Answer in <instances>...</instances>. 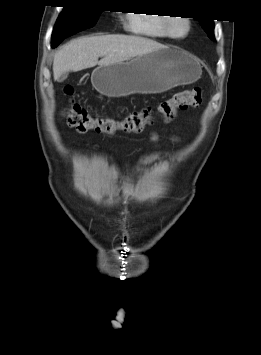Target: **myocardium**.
Instances as JSON below:
<instances>
[{
  "label": "myocardium",
  "mask_w": 261,
  "mask_h": 355,
  "mask_svg": "<svg viewBox=\"0 0 261 355\" xmlns=\"http://www.w3.org/2000/svg\"><path fill=\"white\" fill-rule=\"evenodd\" d=\"M177 20H181L185 23L186 25V31L184 34L182 35H176L173 33L172 31V27H173V24L175 21ZM164 28H165V31H166V34L169 38H172V39H176V40H181V39H184L186 38L189 34H190V31H191V21L190 19H188V17H180V18H176V17H167L165 19V22H164Z\"/></svg>",
  "instance_id": "f54148a6"
}]
</instances>
